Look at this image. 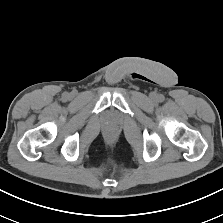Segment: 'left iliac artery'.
I'll return each instance as SVG.
<instances>
[{
    "label": "left iliac artery",
    "mask_w": 223,
    "mask_h": 223,
    "mask_svg": "<svg viewBox=\"0 0 223 223\" xmlns=\"http://www.w3.org/2000/svg\"><path fill=\"white\" fill-rule=\"evenodd\" d=\"M158 100H159L160 102H162V101L164 100V96H163V95H159V96H158Z\"/></svg>",
    "instance_id": "obj_1"
}]
</instances>
